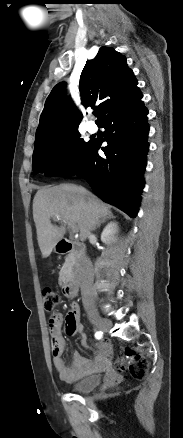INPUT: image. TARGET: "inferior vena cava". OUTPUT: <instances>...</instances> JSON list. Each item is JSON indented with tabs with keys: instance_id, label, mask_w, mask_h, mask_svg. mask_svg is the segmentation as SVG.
I'll use <instances>...</instances> for the list:
<instances>
[{
	"instance_id": "602c4592",
	"label": "inferior vena cava",
	"mask_w": 183,
	"mask_h": 438,
	"mask_svg": "<svg viewBox=\"0 0 183 438\" xmlns=\"http://www.w3.org/2000/svg\"><path fill=\"white\" fill-rule=\"evenodd\" d=\"M82 271V297L83 304L86 309L90 308L94 304L92 294V284L94 279L93 268L91 261L88 257H84L81 260Z\"/></svg>"
}]
</instances>
